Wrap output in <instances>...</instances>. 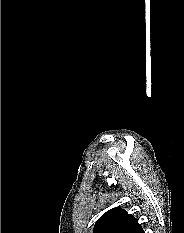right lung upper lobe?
<instances>
[{"instance_id":"1","label":"right lung upper lobe","mask_w":184,"mask_h":233,"mask_svg":"<svg viewBox=\"0 0 184 233\" xmlns=\"http://www.w3.org/2000/svg\"><path fill=\"white\" fill-rule=\"evenodd\" d=\"M141 229L137 219L124 209L115 207L96 222L93 233H137Z\"/></svg>"}]
</instances>
